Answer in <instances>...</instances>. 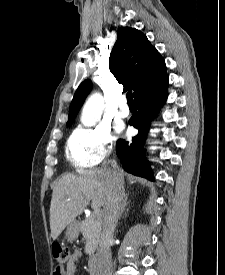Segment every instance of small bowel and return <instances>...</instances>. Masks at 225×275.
Returning a JSON list of instances; mask_svg holds the SVG:
<instances>
[{
    "instance_id": "1",
    "label": "small bowel",
    "mask_w": 225,
    "mask_h": 275,
    "mask_svg": "<svg viewBox=\"0 0 225 275\" xmlns=\"http://www.w3.org/2000/svg\"><path fill=\"white\" fill-rule=\"evenodd\" d=\"M81 256V251L75 250L69 258V261L66 265V269L63 272H61L60 275H75L77 263L79 262Z\"/></svg>"
}]
</instances>
